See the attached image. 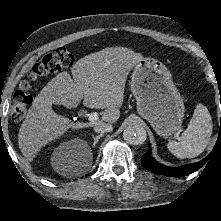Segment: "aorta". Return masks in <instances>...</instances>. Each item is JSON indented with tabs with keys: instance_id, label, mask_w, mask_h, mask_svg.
<instances>
[{
	"instance_id": "aorta-1",
	"label": "aorta",
	"mask_w": 221,
	"mask_h": 221,
	"mask_svg": "<svg viewBox=\"0 0 221 221\" xmlns=\"http://www.w3.org/2000/svg\"><path fill=\"white\" fill-rule=\"evenodd\" d=\"M146 130L140 125H131L123 131L124 140L131 145H139L146 140Z\"/></svg>"
}]
</instances>
